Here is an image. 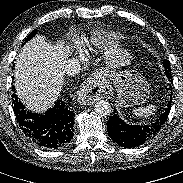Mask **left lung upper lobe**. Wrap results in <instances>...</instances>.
<instances>
[{
	"mask_svg": "<svg viewBox=\"0 0 183 183\" xmlns=\"http://www.w3.org/2000/svg\"><path fill=\"white\" fill-rule=\"evenodd\" d=\"M163 65H164V68H165L164 69L165 72L170 69V65H169L168 60H164Z\"/></svg>",
	"mask_w": 183,
	"mask_h": 183,
	"instance_id": "obj_1",
	"label": "left lung upper lobe"
}]
</instances>
